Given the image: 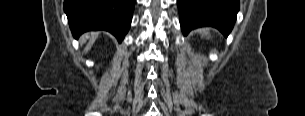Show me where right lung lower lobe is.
I'll return each instance as SVG.
<instances>
[{
    "label": "right lung lower lobe",
    "mask_w": 305,
    "mask_h": 116,
    "mask_svg": "<svg viewBox=\"0 0 305 116\" xmlns=\"http://www.w3.org/2000/svg\"><path fill=\"white\" fill-rule=\"evenodd\" d=\"M134 4L135 0H65L64 11L74 38L106 30L121 42L130 28Z\"/></svg>",
    "instance_id": "1"
}]
</instances>
